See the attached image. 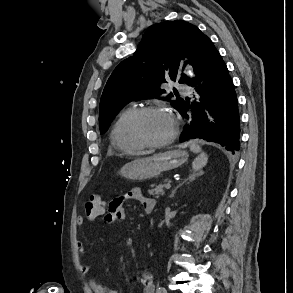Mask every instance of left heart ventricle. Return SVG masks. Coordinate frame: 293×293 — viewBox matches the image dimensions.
Listing matches in <instances>:
<instances>
[{"label": "left heart ventricle", "instance_id": "b2bd125f", "mask_svg": "<svg viewBox=\"0 0 293 293\" xmlns=\"http://www.w3.org/2000/svg\"><path fill=\"white\" fill-rule=\"evenodd\" d=\"M173 123L165 112H153L144 116L140 123V131L144 138L151 142H158L170 136Z\"/></svg>", "mask_w": 293, "mask_h": 293}]
</instances>
